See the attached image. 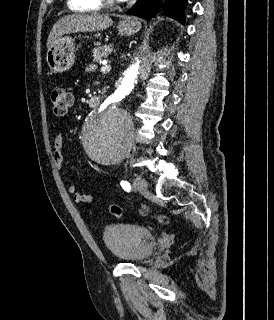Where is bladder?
Masks as SVG:
<instances>
[{"mask_svg":"<svg viewBox=\"0 0 274 320\" xmlns=\"http://www.w3.org/2000/svg\"><path fill=\"white\" fill-rule=\"evenodd\" d=\"M102 240L109 253L122 262H142L153 253L154 235L142 226L110 225L104 230Z\"/></svg>","mask_w":274,"mask_h":320,"instance_id":"1","label":"bladder"}]
</instances>
